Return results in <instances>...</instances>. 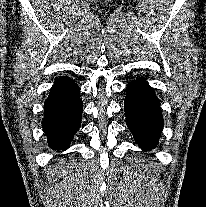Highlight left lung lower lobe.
Instances as JSON below:
<instances>
[{
    "mask_svg": "<svg viewBox=\"0 0 206 207\" xmlns=\"http://www.w3.org/2000/svg\"><path fill=\"white\" fill-rule=\"evenodd\" d=\"M124 107L126 123L136 143L144 151L153 149L158 144L164 120L160 102L145 80L137 78L127 85Z\"/></svg>",
    "mask_w": 206,
    "mask_h": 207,
    "instance_id": "0a47b994",
    "label": "left lung lower lobe"
}]
</instances>
